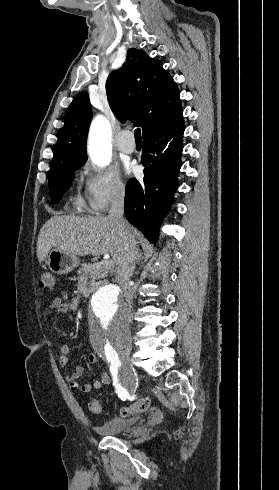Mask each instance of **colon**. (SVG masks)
Segmentation results:
<instances>
[{
    "mask_svg": "<svg viewBox=\"0 0 279 490\" xmlns=\"http://www.w3.org/2000/svg\"><path fill=\"white\" fill-rule=\"evenodd\" d=\"M40 284L43 288L54 289L56 286V276L52 271L45 270L40 277ZM152 404L150 397H142L134 403L124 406L120 409V415H135L147 411ZM88 409L91 413L102 414V402L98 399H92L88 402Z\"/></svg>",
    "mask_w": 279,
    "mask_h": 490,
    "instance_id": "1",
    "label": "colon"
}]
</instances>
